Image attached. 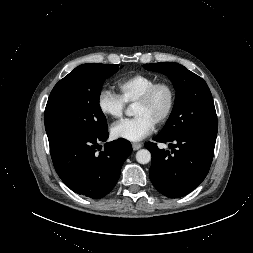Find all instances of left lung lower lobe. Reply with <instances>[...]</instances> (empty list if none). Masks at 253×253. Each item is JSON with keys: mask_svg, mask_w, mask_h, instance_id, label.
Segmentation results:
<instances>
[{"mask_svg": "<svg viewBox=\"0 0 253 253\" xmlns=\"http://www.w3.org/2000/svg\"><path fill=\"white\" fill-rule=\"evenodd\" d=\"M157 142L169 143L171 153L156 143L145 147L152 154L149 177L163 195L179 198L192 192L205 179L212 163L216 137L188 133L173 138L157 135Z\"/></svg>", "mask_w": 253, "mask_h": 253, "instance_id": "obj_1", "label": "left lung lower lobe"}]
</instances>
